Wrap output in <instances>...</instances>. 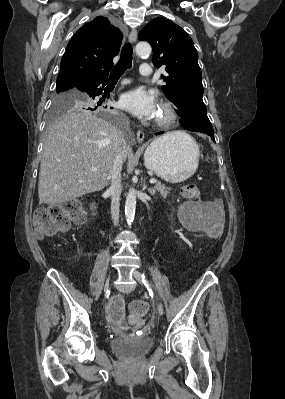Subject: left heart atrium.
I'll return each mask as SVG.
<instances>
[{
  "label": "left heart atrium",
  "instance_id": "1",
  "mask_svg": "<svg viewBox=\"0 0 285 399\" xmlns=\"http://www.w3.org/2000/svg\"><path fill=\"white\" fill-rule=\"evenodd\" d=\"M120 106L143 120L156 118L159 111L155 96L143 88H136L123 94Z\"/></svg>",
  "mask_w": 285,
  "mask_h": 399
}]
</instances>
